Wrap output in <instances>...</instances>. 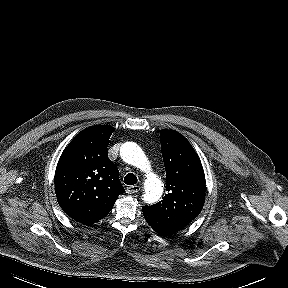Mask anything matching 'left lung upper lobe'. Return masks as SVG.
I'll use <instances>...</instances> for the list:
<instances>
[{
  "instance_id": "1",
  "label": "left lung upper lobe",
  "mask_w": 288,
  "mask_h": 288,
  "mask_svg": "<svg viewBox=\"0 0 288 288\" xmlns=\"http://www.w3.org/2000/svg\"><path fill=\"white\" fill-rule=\"evenodd\" d=\"M160 137L168 193L163 200L143 208L154 218L181 230L203 208L204 171L197 153L184 136L174 130H161Z\"/></svg>"
}]
</instances>
